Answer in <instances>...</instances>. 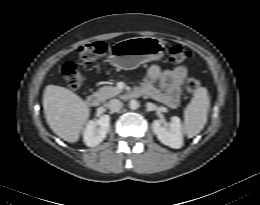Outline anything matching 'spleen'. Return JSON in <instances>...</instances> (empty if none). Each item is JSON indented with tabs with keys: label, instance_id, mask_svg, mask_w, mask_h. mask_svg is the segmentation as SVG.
I'll return each instance as SVG.
<instances>
[{
	"label": "spleen",
	"instance_id": "obj_1",
	"mask_svg": "<svg viewBox=\"0 0 260 205\" xmlns=\"http://www.w3.org/2000/svg\"><path fill=\"white\" fill-rule=\"evenodd\" d=\"M210 98L205 87L196 89L190 104L184 110L183 131L188 138H193L201 132L207 123Z\"/></svg>",
	"mask_w": 260,
	"mask_h": 205
}]
</instances>
